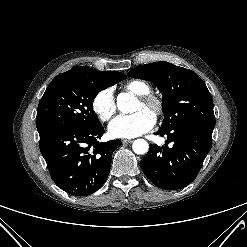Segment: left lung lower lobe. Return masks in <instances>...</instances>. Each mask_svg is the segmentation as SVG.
Returning <instances> with one entry per match:
<instances>
[{
	"label": "left lung lower lobe",
	"mask_w": 247,
	"mask_h": 247,
	"mask_svg": "<svg viewBox=\"0 0 247 247\" xmlns=\"http://www.w3.org/2000/svg\"><path fill=\"white\" fill-rule=\"evenodd\" d=\"M212 132L196 124H180L159 129L156 135L167 136L171 147L150 145L140 167L146 177L165 190L182 189L194 181L203 160L212 147Z\"/></svg>",
	"instance_id": "obj_1"
}]
</instances>
